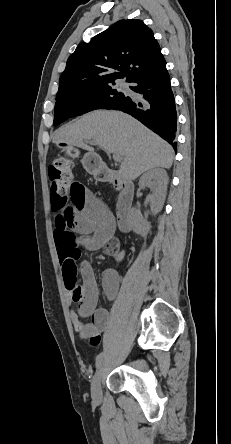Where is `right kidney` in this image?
<instances>
[{
    "label": "right kidney",
    "instance_id": "1",
    "mask_svg": "<svg viewBox=\"0 0 231 444\" xmlns=\"http://www.w3.org/2000/svg\"><path fill=\"white\" fill-rule=\"evenodd\" d=\"M168 176L165 170L156 168L147 171L139 180V187L144 189L149 187L152 191L147 200L150 202L151 210L154 214L162 210L167 193ZM130 221L135 233L145 237L147 236L151 224L144 219L140 211L136 208L131 210Z\"/></svg>",
    "mask_w": 231,
    "mask_h": 444
}]
</instances>
